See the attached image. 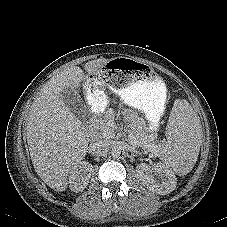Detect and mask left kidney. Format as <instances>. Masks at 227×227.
Returning a JSON list of instances; mask_svg holds the SVG:
<instances>
[{"label": "left kidney", "mask_w": 227, "mask_h": 227, "mask_svg": "<svg viewBox=\"0 0 227 227\" xmlns=\"http://www.w3.org/2000/svg\"><path fill=\"white\" fill-rule=\"evenodd\" d=\"M136 172L142 184L154 193L166 195L176 188V176L164 163L158 162L154 167L141 163L137 166Z\"/></svg>", "instance_id": "1"}]
</instances>
